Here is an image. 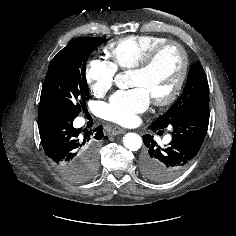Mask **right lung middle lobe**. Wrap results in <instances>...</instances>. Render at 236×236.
Masks as SVG:
<instances>
[{
  "mask_svg": "<svg viewBox=\"0 0 236 236\" xmlns=\"http://www.w3.org/2000/svg\"><path fill=\"white\" fill-rule=\"evenodd\" d=\"M105 42L100 37H81L71 41L51 61L40 97L39 114L50 113L76 118L89 99L85 66L89 54ZM97 171V158L82 169L80 182Z\"/></svg>",
  "mask_w": 236,
  "mask_h": 236,
  "instance_id": "obj_1",
  "label": "right lung middle lobe"
}]
</instances>
